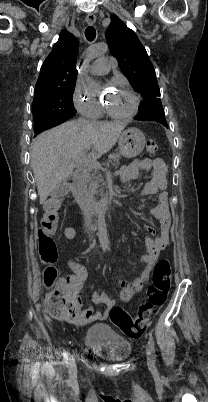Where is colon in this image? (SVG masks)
<instances>
[{
	"mask_svg": "<svg viewBox=\"0 0 208 402\" xmlns=\"http://www.w3.org/2000/svg\"><path fill=\"white\" fill-rule=\"evenodd\" d=\"M146 149L149 153H155L157 143L148 140ZM42 224L48 232L39 233L38 254L42 264L46 265L43 276L50 287L46 299L43 300V307L48 308V314H66L69 318H76L80 314V306H83L84 299L80 297L78 291L76 292L78 297H74V283L70 277H59L57 267L59 258L54 256L57 254V242L53 241L57 219L50 213L43 219ZM68 236H73V231H68ZM170 283V263L166 259L160 260L154 266L152 281L146 290L147 297L140 303L136 318L133 319L122 306L115 305L109 310L111 321L126 337L132 339L142 337L156 310L166 303ZM85 314L89 315L87 309Z\"/></svg>",
	"mask_w": 208,
	"mask_h": 402,
	"instance_id": "1",
	"label": "colon"
}]
</instances>
